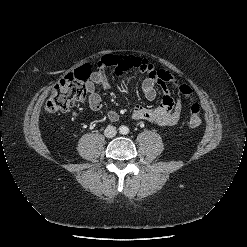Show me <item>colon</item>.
<instances>
[{"label": "colon", "mask_w": 247, "mask_h": 247, "mask_svg": "<svg viewBox=\"0 0 247 247\" xmlns=\"http://www.w3.org/2000/svg\"><path fill=\"white\" fill-rule=\"evenodd\" d=\"M90 74V67L83 65L60 80L45 104V112L48 114L68 112L83 103L86 97L85 82ZM178 91L190 98L188 123L191 127H198L202 122L201 107L193 98L191 88L181 85Z\"/></svg>", "instance_id": "obj_1"}]
</instances>
